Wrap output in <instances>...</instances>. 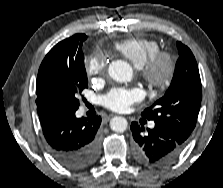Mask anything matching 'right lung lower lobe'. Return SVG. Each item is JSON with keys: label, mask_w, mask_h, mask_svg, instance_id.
I'll return each instance as SVG.
<instances>
[{"label": "right lung lower lobe", "mask_w": 223, "mask_h": 188, "mask_svg": "<svg viewBox=\"0 0 223 188\" xmlns=\"http://www.w3.org/2000/svg\"><path fill=\"white\" fill-rule=\"evenodd\" d=\"M78 108L38 107V115L50 154L64 167L84 169L100 153L98 128L101 117L77 118Z\"/></svg>", "instance_id": "right-lung-lower-lobe-1"}]
</instances>
